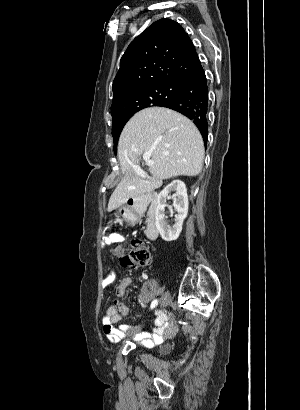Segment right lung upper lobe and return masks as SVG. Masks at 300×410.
<instances>
[{"label":"right lung upper lobe","mask_w":300,"mask_h":410,"mask_svg":"<svg viewBox=\"0 0 300 410\" xmlns=\"http://www.w3.org/2000/svg\"><path fill=\"white\" fill-rule=\"evenodd\" d=\"M201 66L194 45L175 21L161 19L150 25L128 46L113 81L112 117L129 96L140 89L163 84H183Z\"/></svg>","instance_id":"1"}]
</instances>
